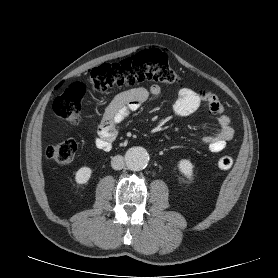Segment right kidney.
Segmentation results:
<instances>
[{
  "label": "right kidney",
  "instance_id": "obj_1",
  "mask_svg": "<svg viewBox=\"0 0 278 278\" xmlns=\"http://www.w3.org/2000/svg\"><path fill=\"white\" fill-rule=\"evenodd\" d=\"M92 174L89 167H81L75 174V180L78 184H85L88 182Z\"/></svg>",
  "mask_w": 278,
  "mask_h": 278
}]
</instances>
